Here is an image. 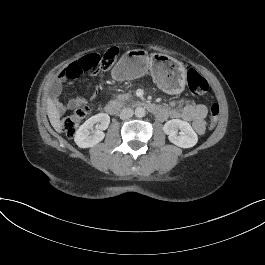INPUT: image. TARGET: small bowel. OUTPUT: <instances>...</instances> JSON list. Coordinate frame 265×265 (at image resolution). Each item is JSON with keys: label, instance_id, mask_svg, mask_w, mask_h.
Here are the masks:
<instances>
[{"label": "small bowel", "instance_id": "small-bowel-1", "mask_svg": "<svg viewBox=\"0 0 265 265\" xmlns=\"http://www.w3.org/2000/svg\"><path fill=\"white\" fill-rule=\"evenodd\" d=\"M94 75L96 73H93ZM61 92V86L59 83H54L50 88V94L54 102L56 103V112L64 113L67 110L75 109L83 104L86 100L82 96H76L62 104L58 102V96ZM163 115L159 117L161 120L182 119L187 122H191L192 126L197 134H203L205 132V118L208 113V108L204 104H192L187 103L180 105L177 102H172L166 108H163Z\"/></svg>", "mask_w": 265, "mask_h": 265}]
</instances>
